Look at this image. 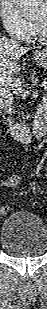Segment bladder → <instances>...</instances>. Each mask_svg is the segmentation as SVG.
<instances>
[{
  "instance_id": "1",
  "label": "bladder",
  "mask_w": 47,
  "mask_h": 309,
  "mask_svg": "<svg viewBox=\"0 0 47 309\" xmlns=\"http://www.w3.org/2000/svg\"><path fill=\"white\" fill-rule=\"evenodd\" d=\"M0 242L10 256H41L47 250V227L39 216L18 211L4 220Z\"/></svg>"
}]
</instances>
